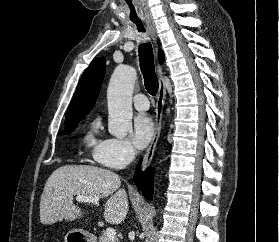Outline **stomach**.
I'll return each instance as SVG.
<instances>
[{"label":"stomach","mask_w":279,"mask_h":242,"mask_svg":"<svg viewBox=\"0 0 279 242\" xmlns=\"http://www.w3.org/2000/svg\"><path fill=\"white\" fill-rule=\"evenodd\" d=\"M91 236L81 229H73L65 236V242H90Z\"/></svg>","instance_id":"0dacf381"}]
</instances>
